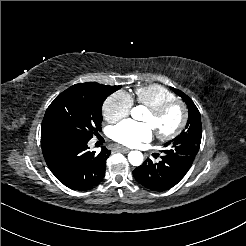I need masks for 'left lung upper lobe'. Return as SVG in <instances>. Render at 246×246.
I'll use <instances>...</instances> for the list:
<instances>
[{
    "instance_id": "1",
    "label": "left lung upper lobe",
    "mask_w": 246,
    "mask_h": 246,
    "mask_svg": "<svg viewBox=\"0 0 246 246\" xmlns=\"http://www.w3.org/2000/svg\"><path fill=\"white\" fill-rule=\"evenodd\" d=\"M187 104L189 117L186 129L173 140L165 144L163 151L167 155L184 160L187 164L192 165L196 154L198 153L201 137L202 125L200 113L190 97L182 91L171 88Z\"/></svg>"
}]
</instances>
